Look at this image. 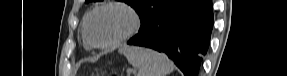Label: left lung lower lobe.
Listing matches in <instances>:
<instances>
[{"instance_id":"left-lung-lower-lobe-1","label":"left lung lower lobe","mask_w":287,"mask_h":76,"mask_svg":"<svg viewBox=\"0 0 287 76\" xmlns=\"http://www.w3.org/2000/svg\"><path fill=\"white\" fill-rule=\"evenodd\" d=\"M212 26L211 0H174L127 43L163 52L185 76H198Z\"/></svg>"}]
</instances>
